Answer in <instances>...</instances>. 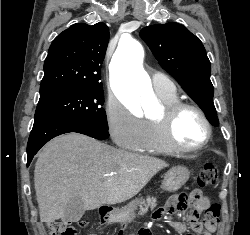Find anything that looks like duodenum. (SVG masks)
I'll return each mask as SVG.
<instances>
[{
  "label": "duodenum",
  "mask_w": 250,
  "mask_h": 235,
  "mask_svg": "<svg viewBox=\"0 0 250 235\" xmlns=\"http://www.w3.org/2000/svg\"><path fill=\"white\" fill-rule=\"evenodd\" d=\"M114 215V212L110 209H107L106 207L101 208V220L105 224H112V216Z\"/></svg>",
  "instance_id": "410a0bca"
}]
</instances>
